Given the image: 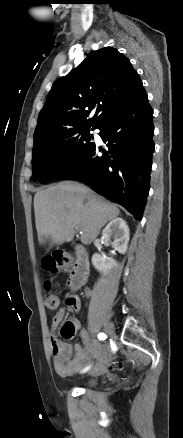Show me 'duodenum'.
<instances>
[{
    "instance_id": "duodenum-1",
    "label": "duodenum",
    "mask_w": 183,
    "mask_h": 438,
    "mask_svg": "<svg viewBox=\"0 0 183 438\" xmlns=\"http://www.w3.org/2000/svg\"><path fill=\"white\" fill-rule=\"evenodd\" d=\"M77 260L71 270L68 281L69 288L76 291L85 283L89 273L88 253L84 247L79 246L76 249Z\"/></svg>"
}]
</instances>
